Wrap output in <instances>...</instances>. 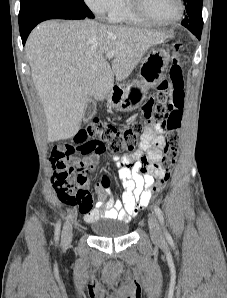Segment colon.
Instances as JSON below:
<instances>
[{
  "instance_id": "5ec220e1",
  "label": "colon",
  "mask_w": 227,
  "mask_h": 298,
  "mask_svg": "<svg viewBox=\"0 0 227 298\" xmlns=\"http://www.w3.org/2000/svg\"><path fill=\"white\" fill-rule=\"evenodd\" d=\"M172 51V65L169 70L168 80L169 92H158L156 94L158 111L154 115H144L142 122H134L129 127L119 129L115 125L94 119L88 126L78 132L73 142H110L107 149L119 152L132 150L138 142V135L148 126L166 125L164 135V156L160 160L163 174L158 177L149 187L148 192L156 194L161 191L170 178V172L174 164V159L178 149V129L181 127L183 106H184V80L181 66L179 64V54L182 50L180 43L170 45ZM94 137L93 139H90ZM105 152V151H103ZM86 156V155H85ZM78 180H81L80 178ZM103 188H108L109 179L103 178ZM60 201L66 204L76 203L81 193L76 187H68L57 191Z\"/></svg>"
}]
</instances>
